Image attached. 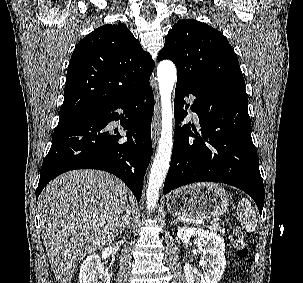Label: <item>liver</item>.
<instances>
[{"label":"liver","mask_w":303,"mask_h":283,"mask_svg":"<svg viewBox=\"0 0 303 283\" xmlns=\"http://www.w3.org/2000/svg\"><path fill=\"white\" fill-rule=\"evenodd\" d=\"M127 188L98 170H74L52 180L38 200L44 246L59 283H71L81 260L110 244L127 208Z\"/></svg>","instance_id":"obj_1"}]
</instances>
